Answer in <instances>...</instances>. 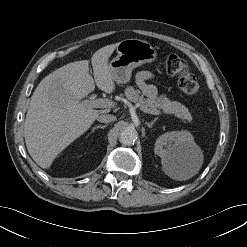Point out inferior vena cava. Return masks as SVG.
Segmentation results:
<instances>
[{
	"instance_id": "602c4592",
	"label": "inferior vena cava",
	"mask_w": 247,
	"mask_h": 247,
	"mask_svg": "<svg viewBox=\"0 0 247 247\" xmlns=\"http://www.w3.org/2000/svg\"><path fill=\"white\" fill-rule=\"evenodd\" d=\"M116 117L114 115L111 114H100L97 117V121L101 122V123H110L112 121H115Z\"/></svg>"
}]
</instances>
